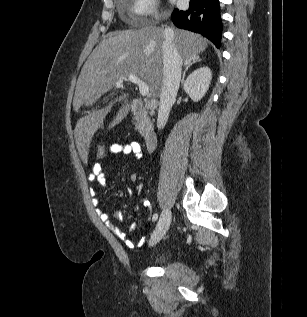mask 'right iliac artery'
I'll return each instance as SVG.
<instances>
[{"label":"right iliac artery","mask_w":307,"mask_h":317,"mask_svg":"<svg viewBox=\"0 0 307 317\" xmlns=\"http://www.w3.org/2000/svg\"><path fill=\"white\" fill-rule=\"evenodd\" d=\"M157 218H158V215H157V214H154V215H153V220L156 221Z\"/></svg>","instance_id":"right-iliac-artery-1"}]
</instances>
